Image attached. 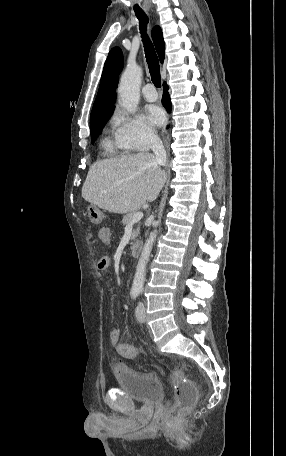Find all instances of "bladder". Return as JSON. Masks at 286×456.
<instances>
[{"label":"bladder","mask_w":286,"mask_h":456,"mask_svg":"<svg viewBox=\"0 0 286 456\" xmlns=\"http://www.w3.org/2000/svg\"><path fill=\"white\" fill-rule=\"evenodd\" d=\"M115 381L119 389L137 402L151 403L164 398V388L156 376L140 373L125 364L116 365Z\"/></svg>","instance_id":"31cf9c89"}]
</instances>
